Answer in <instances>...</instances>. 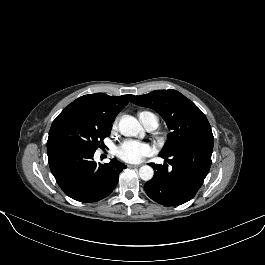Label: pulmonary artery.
<instances>
[{
	"label": "pulmonary artery",
	"mask_w": 265,
	"mask_h": 265,
	"mask_svg": "<svg viewBox=\"0 0 265 265\" xmlns=\"http://www.w3.org/2000/svg\"><path fill=\"white\" fill-rule=\"evenodd\" d=\"M140 121L148 131H152L157 127V119L154 116L143 117Z\"/></svg>",
	"instance_id": "pulmonary-artery-1"
}]
</instances>
